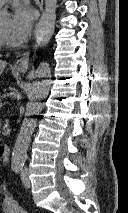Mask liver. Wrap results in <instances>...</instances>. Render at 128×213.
I'll list each match as a JSON object with an SVG mask.
<instances>
[{
	"mask_svg": "<svg viewBox=\"0 0 128 213\" xmlns=\"http://www.w3.org/2000/svg\"><path fill=\"white\" fill-rule=\"evenodd\" d=\"M6 65H7V63L5 61L0 60V74H2Z\"/></svg>",
	"mask_w": 128,
	"mask_h": 213,
	"instance_id": "liver-1",
	"label": "liver"
}]
</instances>
